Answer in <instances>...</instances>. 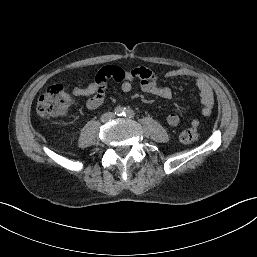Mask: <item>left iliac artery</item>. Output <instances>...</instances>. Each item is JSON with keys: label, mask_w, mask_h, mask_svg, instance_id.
Listing matches in <instances>:
<instances>
[{"label": "left iliac artery", "mask_w": 257, "mask_h": 257, "mask_svg": "<svg viewBox=\"0 0 257 257\" xmlns=\"http://www.w3.org/2000/svg\"><path fill=\"white\" fill-rule=\"evenodd\" d=\"M123 115L125 117L133 118L135 116V112L132 109H130V108H125Z\"/></svg>", "instance_id": "obj_1"}]
</instances>
